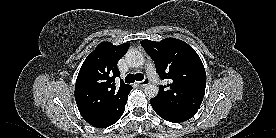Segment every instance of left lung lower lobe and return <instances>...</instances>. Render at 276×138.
<instances>
[{
    "label": "left lung lower lobe",
    "instance_id": "obj_1",
    "mask_svg": "<svg viewBox=\"0 0 276 138\" xmlns=\"http://www.w3.org/2000/svg\"><path fill=\"white\" fill-rule=\"evenodd\" d=\"M151 106L155 110V112L162 117L163 119L177 123V122H184L188 119H190L193 115L185 114V113H179L174 110H171L169 108H165L158 103L154 102L152 99L150 100Z\"/></svg>",
    "mask_w": 276,
    "mask_h": 138
}]
</instances>
